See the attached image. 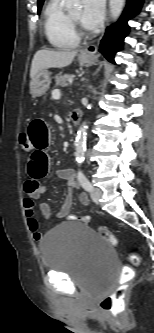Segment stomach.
<instances>
[{"instance_id":"1","label":"stomach","mask_w":154,"mask_h":333,"mask_svg":"<svg viewBox=\"0 0 154 333\" xmlns=\"http://www.w3.org/2000/svg\"><path fill=\"white\" fill-rule=\"evenodd\" d=\"M78 60L81 65L91 66L95 63L96 57L94 55L81 53L78 56ZM50 83L51 80L47 70H40L30 81V93L32 97L36 98L44 95L48 90Z\"/></svg>"}]
</instances>
